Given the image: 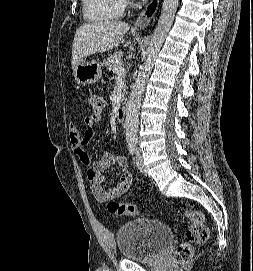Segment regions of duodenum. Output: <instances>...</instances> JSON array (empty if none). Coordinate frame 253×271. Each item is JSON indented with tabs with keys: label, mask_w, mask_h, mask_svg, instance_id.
Returning a JSON list of instances; mask_svg holds the SVG:
<instances>
[{
	"label": "duodenum",
	"mask_w": 253,
	"mask_h": 271,
	"mask_svg": "<svg viewBox=\"0 0 253 271\" xmlns=\"http://www.w3.org/2000/svg\"><path fill=\"white\" fill-rule=\"evenodd\" d=\"M126 106H120L117 110V120L123 122L126 118Z\"/></svg>",
	"instance_id": "410a0bca"
}]
</instances>
